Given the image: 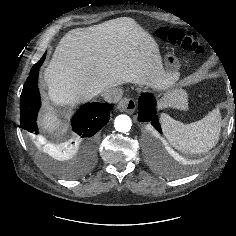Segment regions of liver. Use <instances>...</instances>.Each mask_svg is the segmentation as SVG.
Wrapping results in <instances>:
<instances>
[{"instance_id": "6515ba94", "label": "liver", "mask_w": 236, "mask_h": 236, "mask_svg": "<svg viewBox=\"0 0 236 236\" xmlns=\"http://www.w3.org/2000/svg\"><path fill=\"white\" fill-rule=\"evenodd\" d=\"M48 98L71 112L107 89L124 83L164 90L174 80L166 74L158 45L134 19L120 17L64 35L44 72ZM163 104L187 108L180 91L168 92ZM43 129L53 132L62 124L55 113L44 112Z\"/></svg>"}]
</instances>
